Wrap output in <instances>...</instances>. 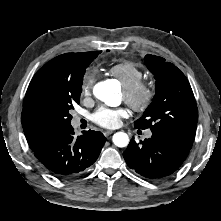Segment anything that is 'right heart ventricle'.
<instances>
[{"instance_id": "obj_1", "label": "right heart ventricle", "mask_w": 221, "mask_h": 221, "mask_svg": "<svg viewBox=\"0 0 221 221\" xmlns=\"http://www.w3.org/2000/svg\"><path fill=\"white\" fill-rule=\"evenodd\" d=\"M109 73L120 81L123 87L132 86L143 79V71L129 61L119 62L109 68Z\"/></svg>"}]
</instances>
